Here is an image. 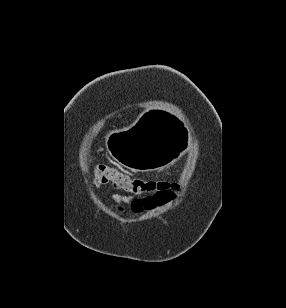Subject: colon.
<instances>
[{
	"label": "colon",
	"instance_id": "obj_1",
	"mask_svg": "<svg viewBox=\"0 0 286 308\" xmlns=\"http://www.w3.org/2000/svg\"><path fill=\"white\" fill-rule=\"evenodd\" d=\"M92 175L95 185H110L124 193L136 196H162L174 186L167 181L131 177L107 164L99 165L94 169Z\"/></svg>",
	"mask_w": 286,
	"mask_h": 308
}]
</instances>
